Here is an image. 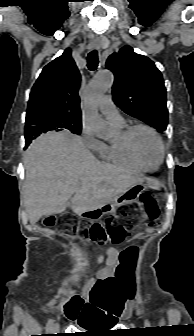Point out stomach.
I'll return each instance as SVG.
<instances>
[{"instance_id": "stomach-1", "label": "stomach", "mask_w": 194, "mask_h": 336, "mask_svg": "<svg viewBox=\"0 0 194 336\" xmlns=\"http://www.w3.org/2000/svg\"><path fill=\"white\" fill-rule=\"evenodd\" d=\"M146 188H156L154 184L147 183V184H138L128 191L124 192L123 194L119 195L115 201L111 203H107L102 205L99 208L94 210L80 212L78 216L80 218H87L89 220H97L102 217L105 213H112L116 210V207L121 204L133 202L141 191L145 190Z\"/></svg>"}]
</instances>
